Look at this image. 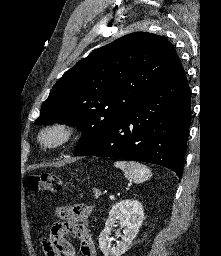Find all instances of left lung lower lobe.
<instances>
[{
    "label": "left lung lower lobe",
    "mask_w": 221,
    "mask_h": 256,
    "mask_svg": "<svg viewBox=\"0 0 221 256\" xmlns=\"http://www.w3.org/2000/svg\"><path fill=\"white\" fill-rule=\"evenodd\" d=\"M191 93L182 68L75 156L95 155L158 164L182 177Z\"/></svg>",
    "instance_id": "1"
}]
</instances>
